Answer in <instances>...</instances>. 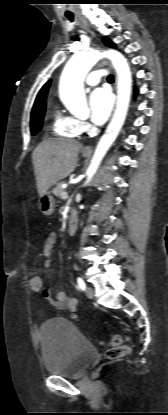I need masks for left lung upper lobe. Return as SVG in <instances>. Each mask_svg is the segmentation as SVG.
Returning <instances> with one entry per match:
<instances>
[{"label": "left lung upper lobe", "instance_id": "left-lung-upper-lobe-1", "mask_svg": "<svg viewBox=\"0 0 168 415\" xmlns=\"http://www.w3.org/2000/svg\"><path fill=\"white\" fill-rule=\"evenodd\" d=\"M103 42L109 47H115V44L111 42L107 37H103Z\"/></svg>", "mask_w": 168, "mask_h": 415}]
</instances>
